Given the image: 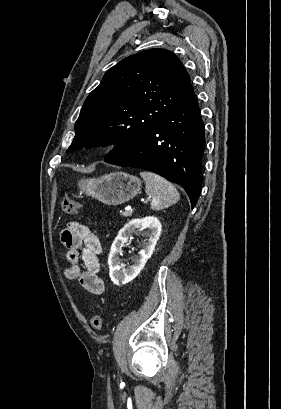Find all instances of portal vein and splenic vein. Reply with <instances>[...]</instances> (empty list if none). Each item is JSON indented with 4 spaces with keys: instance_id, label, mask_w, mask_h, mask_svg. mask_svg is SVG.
<instances>
[{
    "instance_id": "portal-vein-and-splenic-vein-1",
    "label": "portal vein and splenic vein",
    "mask_w": 281,
    "mask_h": 409,
    "mask_svg": "<svg viewBox=\"0 0 281 409\" xmlns=\"http://www.w3.org/2000/svg\"><path fill=\"white\" fill-rule=\"evenodd\" d=\"M141 200H146V198H145V197H141V198H140V201H141ZM123 213H124V216H127V217H130V216H131V213L129 212L128 207H126V209L123 210Z\"/></svg>"
}]
</instances>
